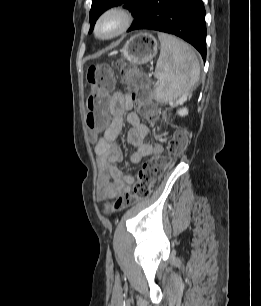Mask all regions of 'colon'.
<instances>
[{"label":"colon","mask_w":261,"mask_h":306,"mask_svg":"<svg viewBox=\"0 0 261 306\" xmlns=\"http://www.w3.org/2000/svg\"><path fill=\"white\" fill-rule=\"evenodd\" d=\"M122 82L130 93L132 101L139 103L143 115L150 119L153 115V103L151 90L145 77L134 66L118 62ZM87 82L90 92L87 97L86 123L90 131L100 132L107 125V102L108 95L114 87L112 66L109 64H97L89 67ZM187 146V134L181 130L176 131L167 143L166 152L158 153L146 160L138 171V180L132 193L119 196L112 205V210L118 212L127 208L137 201L149 196L151 187L156 183L165 170L179 157Z\"/></svg>","instance_id":"5ec220e1"}]
</instances>
